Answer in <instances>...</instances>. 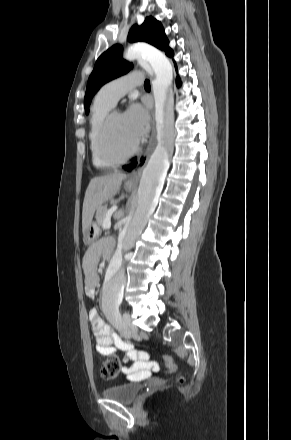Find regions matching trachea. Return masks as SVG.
Listing matches in <instances>:
<instances>
[{
	"label": "trachea",
	"mask_w": 291,
	"mask_h": 440,
	"mask_svg": "<svg viewBox=\"0 0 291 440\" xmlns=\"http://www.w3.org/2000/svg\"><path fill=\"white\" fill-rule=\"evenodd\" d=\"M144 87L145 88H150V81L149 80H145V82H144Z\"/></svg>",
	"instance_id": "obj_1"
}]
</instances>
